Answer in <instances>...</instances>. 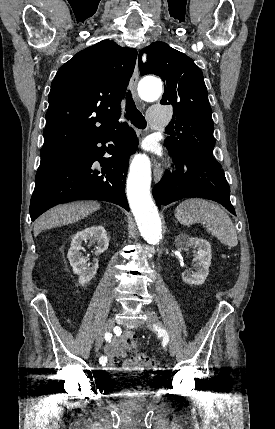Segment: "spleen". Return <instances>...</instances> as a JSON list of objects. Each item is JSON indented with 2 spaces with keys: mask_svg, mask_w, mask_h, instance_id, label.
<instances>
[{
  "mask_svg": "<svg viewBox=\"0 0 275 429\" xmlns=\"http://www.w3.org/2000/svg\"><path fill=\"white\" fill-rule=\"evenodd\" d=\"M175 216L185 226L204 224L208 232L228 247L238 244L232 220L222 208L212 202L200 198L185 200L177 206Z\"/></svg>",
  "mask_w": 275,
  "mask_h": 429,
  "instance_id": "1",
  "label": "spleen"
}]
</instances>
